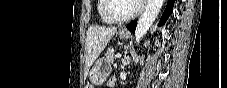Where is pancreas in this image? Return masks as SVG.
Segmentation results:
<instances>
[{
	"mask_svg": "<svg viewBox=\"0 0 227 88\" xmlns=\"http://www.w3.org/2000/svg\"><path fill=\"white\" fill-rule=\"evenodd\" d=\"M105 58L108 62L113 63L115 57V50L113 48H110L105 53Z\"/></svg>",
	"mask_w": 227,
	"mask_h": 88,
	"instance_id": "obj_1",
	"label": "pancreas"
}]
</instances>
